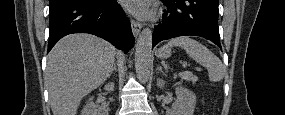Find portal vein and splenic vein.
<instances>
[{
	"mask_svg": "<svg viewBox=\"0 0 285 115\" xmlns=\"http://www.w3.org/2000/svg\"><path fill=\"white\" fill-rule=\"evenodd\" d=\"M183 66L186 67L187 66V62H183Z\"/></svg>",
	"mask_w": 285,
	"mask_h": 115,
	"instance_id": "obj_1",
	"label": "portal vein and splenic vein"
}]
</instances>
